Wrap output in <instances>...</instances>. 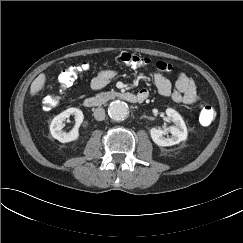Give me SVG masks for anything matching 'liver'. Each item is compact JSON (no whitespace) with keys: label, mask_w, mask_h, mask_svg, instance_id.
Here are the masks:
<instances>
[{"label":"liver","mask_w":243,"mask_h":243,"mask_svg":"<svg viewBox=\"0 0 243 243\" xmlns=\"http://www.w3.org/2000/svg\"><path fill=\"white\" fill-rule=\"evenodd\" d=\"M46 82V76L44 73L38 75V77L32 82L30 87V94L34 96L44 87Z\"/></svg>","instance_id":"6515ba94"}]
</instances>
